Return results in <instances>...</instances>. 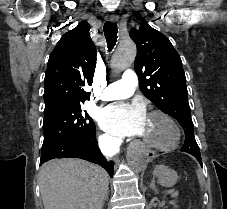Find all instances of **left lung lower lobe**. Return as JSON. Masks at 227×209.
I'll return each mask as SVG.
<instances>
[{
	"instance_id": "obj_1",
	"label": "left lung lower lobe",
	"mask_w": 227,
	"mask_h": 209,
	"mask_svg": "<svg viewBox=\"0 0 227 209\" xmlns=\"http://www.w3.org/2000/svg\"><path fill=\"white\" fill-rule=\"evenodd\" d=\"M198 161L200 164H202V160H201V155H197V154H192Z\"/></svg>"
}]
</instances>
